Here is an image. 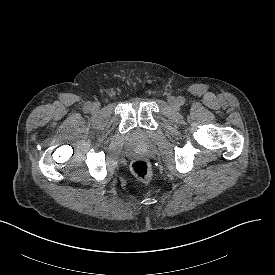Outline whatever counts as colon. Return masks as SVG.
<instances>
[{
  "mask_svg": "<svg viewBox=\"0 0 275 275\" xmlns=\"http://www.w3.org/2000/svg\"><path fill=\"white\" fill-rule=\"evenodd\" d=\"M133 174L143 182H149L152 178V169L145 159H136L131 164Z\"/></svg>",
  "mask_w": 275,
  "mask_h": 275,
  "instance_id": "colon-1",
  "label": "colon"
}]
</instances>
